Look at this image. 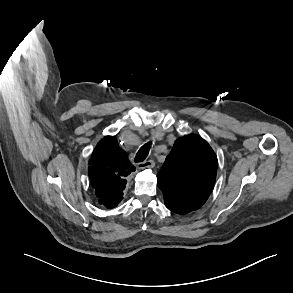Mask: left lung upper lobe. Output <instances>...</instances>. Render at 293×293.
<instances>
[{
    "label": "left lung upper lobe",
    "mask_w": 293,
    "mask_h": 293,
    "mask_svg": "<svg viewBox=\"0 0 293 293\" xmlns=\"http://www.w3.org/2000/svg\"><path fill=\"white\" fill-rule=\"evenodd\" d=\"M217 166V156L204 139L194 134L178 139L157 175L165 203L187 212L199 209L213 189Z\"/></svg>",
    "instance_id": "obj_1"
}]
</instances>
